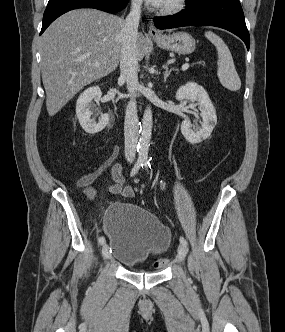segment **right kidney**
Masks as SVG:
<instances>
[{
  "label": "right kidney",
  "mask_w": 285,
  "mask_h": 332,
  "mask_svg": "<svg viewBox=\"0 0 285 332\" xmlns=\"http://www.w3.org/2000/svg\"><path fill=\"white\" fill-rule=\"evenodd\" d=\"M102 92L99 86H92L86 89L79 96L76 103V116L83 130L89 134L102 131L109 123L108 114H102L96 121V114L93 113L90 103L92 100H99Z\"/></svg>",
  "instance_id": "1"
}]
</instances>
